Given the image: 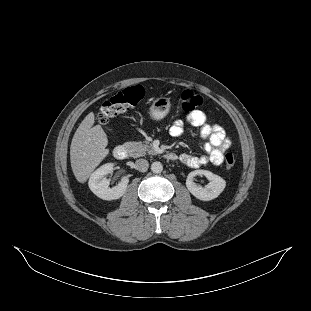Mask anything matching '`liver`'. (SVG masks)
Instances as JSON below:
<instances>
[{"label":"liver","instance_id":"1","mask_svg":"<svg viewBox=\"0 0 311 311\" xmlns=\"http://www.w3.org/2000/svg\"><path fill=\"white\" fill-rule=\"evenodd\" d=\"M90 112L80 123L70 146V161L75 178L85 183L93 170L109 154L108 138L101 125H95Z\"/></svg>","mask_w":311,"mask_h":311}]
</instances>
